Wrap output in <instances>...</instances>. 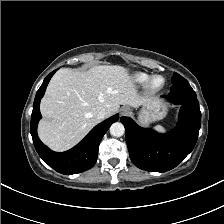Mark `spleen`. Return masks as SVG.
Wrapping results in <instances>:
<instances>
[{
    "mask_svg": "<svg viewBox=\"0 0 224 224\" xmlns=\"http://www.w3.org/2000/svg\"><path fill=\"white\" fill-rule=\"evenodd\" d=\"M155 130H157V131H159V132H164V131H165L164 127L161 126V125H157V126H155Z\"/></svg>",
    "mask_w": 224,
    "mask_h": 224,
    "instance_id": "obj_1",
    "label": "spleen"
}]
</instances>
